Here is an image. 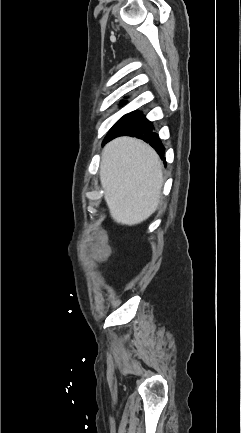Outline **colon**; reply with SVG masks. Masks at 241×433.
Segmentation results:
<instances>
[{
    "instance_id": "obj_1",
    "label": "colon",
    "mask_w": 241,
    "mask_h": 433,
    "mask_svg": "<svg viewBox=\"0 0 241 433\" xmlns=\"http://www.w3.org/2000/svg\"><path fill=\"white\" fill-rule=\"evenodd\" d=\"M94 252L98 258L106 257L108 254V249H107L106 244L103 241L97 242L95 247H94Z\"/></svg>"
}]
</instances>
